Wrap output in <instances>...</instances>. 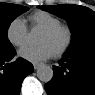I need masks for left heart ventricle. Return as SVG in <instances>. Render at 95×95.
<instances>
[{
    "label": "left heart ventricle",
    "instance_id": "left-heart-ventricle-1",
    "mask_svg": "<svg viewBox=\"0 0 95 95\" xmlns=\"http://www.w3.org/2000/svg\"><path fill=\"white\" fill-rule=\"evenodd\" d=\"M65 40H66V35L64 32H59L54 36H49L42 32L38 38L37 43L47 44L54 53L64 45Z\"/></svg>",
    "mask_w": 95,
    "mask_h": 95
}]
</instances>
